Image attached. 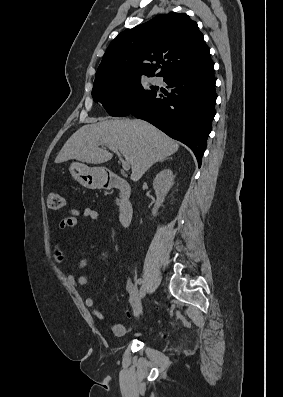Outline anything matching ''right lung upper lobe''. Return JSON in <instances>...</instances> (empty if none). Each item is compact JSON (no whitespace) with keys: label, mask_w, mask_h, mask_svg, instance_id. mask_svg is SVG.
Segmentation results:
<instances>
[{"label":"right lung upper lobe","mask_w":283,"mask_h":397,"mask_svg":"<svg viewBox=\"0 0 283 397\" xmlns=\"http://www.w3.org/2000/svg\"><path fill=\"white\" fill-rule=\"evenodd\" d=\"M208 59L197 23L185 13L171 12L121 32L108 46L94 82L151 76L159 68L156 76L165 78Z\"/></svg>","instance_id":"cb5924a9"}]
</instances>
